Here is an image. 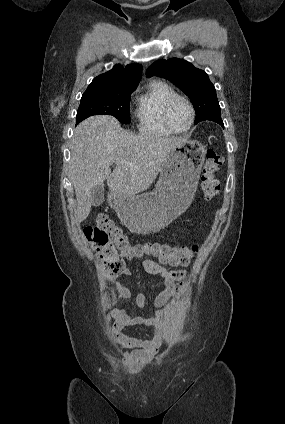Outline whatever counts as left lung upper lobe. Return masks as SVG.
Here are the masks:
<instances>
[{
    "label": "left lung upper lobe",
    "instance_id": "5c2ea615",
    "mask_svg": "<svg viewBox=\"0 0 285 424\" xmlns=\"http://www.w3.org/2000/svg\"><path fill=\"white\" fill-rule=\"evenodd\" d=\"M146 75L165 78L181 89L194 105L195 124L220 116L214 85L205 71L195 68L191 63L177 58L158 60L147 69Z\"/></svg>",
    "mask_w": 285,
    "mask_h": 424
}]
</instances>
